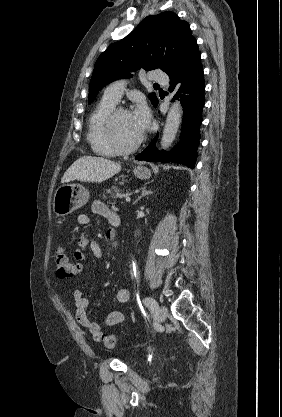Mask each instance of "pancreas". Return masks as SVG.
Here are the masks:
<instances>
[{
  "instance_id": "cf45deb5",
  "label": "pancreas",
  "mask_w": 282,
  "mask_h": 417,
  "mask_svg": "<svg viewBox=\"0 0 282 417\" xmlns=\"http://www.w3.org/2000/svg\"><path fill=\"white\" fill-rule=\"evenodd\" d=\"M128 190L124 192V188H118V186H111V188H104L102 198H123L122 194H127ZM106 194H112V196H106ZM110 204L109 200H107ZM115 202V200H114Z\"/></svg>"
}]
</instances>
